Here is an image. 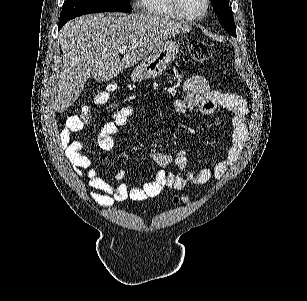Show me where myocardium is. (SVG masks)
I'll return each instance as SVG.
<instances>
[{
    "label": "myocardium",
    "mask_w": 307,
    "mask_h": 301,
    "mask_svg": "<svg viewBox=\"0 0 307 301\" xmlns=\"http://www.w3.org/2000/svg\"><path fill=\"white\" fill-rule=\"evenodd\" d=\"M183 0H171L172 14L176 15L178 22H200L201 17H205L208 9L207 0H201L200 8L193 10H179ZM178 10V11H177Z\"/></svg>",
    "instance_id": "obj_1"
}]
</instances>
